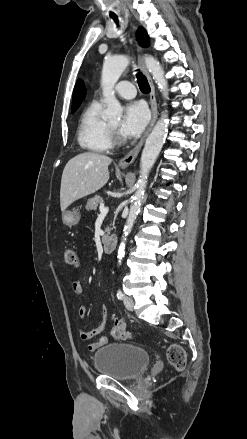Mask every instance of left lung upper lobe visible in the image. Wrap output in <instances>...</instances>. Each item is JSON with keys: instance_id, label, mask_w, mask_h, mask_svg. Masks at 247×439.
Instances as JSON below:
<instances>
[{"instance_id": "obj_1", "label": "left lung upper lobe", "mask_w": 247, "mask_h": 439, "mask_svg": "<svg viewBox=\"0 0 247 439\" xmlns=\"http://www.w3.org/2000/svg\"><path fill=\"white\" fill-rule=\"evenodd\" d=\"M137 38L142 46L145 47L148 45V35L143 28L138 30Z\"/></svg>"}]
</instances>
